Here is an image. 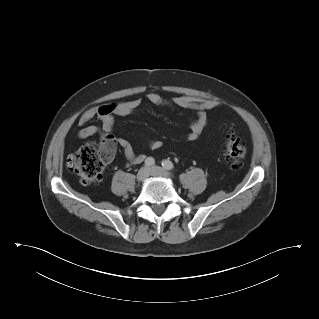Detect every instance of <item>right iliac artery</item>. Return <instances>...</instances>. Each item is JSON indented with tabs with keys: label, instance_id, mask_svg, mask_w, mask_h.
I'll list each match as a JSON object with an SVG mask.
<instances>
[{
	"label": "right iliac artery",
	"instance_id": "right-iliac-artery-1",
	"mask_svg": "<svg viewBox=\"0 0 319 319\" xmlns=\"http://www.w3.org/2000/svg\"><path fill=\"white\" fill-rule=\"evenodd\" d=\"M145 164H146V166L150 167V166H152V165L155 164V161H154V159H153L152 157H148V158L145 160Z\"/></svg>",
	"mask_w": 319,
	"mask_h": 319
}]
</instances>
